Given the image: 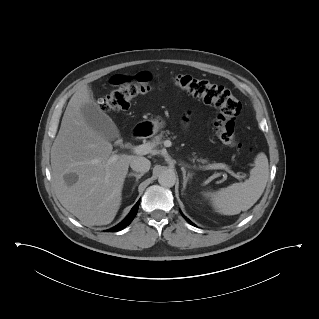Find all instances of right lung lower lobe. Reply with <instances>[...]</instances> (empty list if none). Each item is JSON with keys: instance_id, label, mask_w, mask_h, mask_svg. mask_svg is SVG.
<instances>
[{"instance_id": "98d812e1", "label": "right lung lower lobe", "mask_w": 319, "mask_h": 319, "mask_svg": "<svg viewBox=\"0 0 319 319\" xmlns=\"http://www.w3.org/2000/svg\"><path fill=\"white\" fill-rule=\"evenodd\" d=\"M139 202L138 201L135 206L132 208L131 212L128 214V216L121 222L119 223L117 226L107 230L109 232H117L122 230L123 228H125L127 225H129L131 223V221L134 219L137 211H138V206H139Z\"/></svg>"}]
</instances>
